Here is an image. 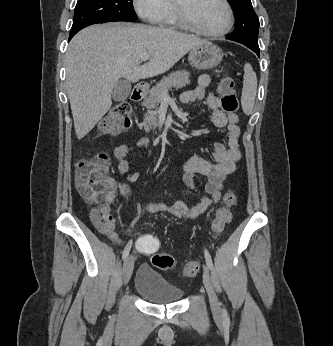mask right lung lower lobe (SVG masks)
I'll list each match as a JSON object with an SVG mask.
<instances>
[{
    "mask_svg": "<svg viewBox=\"0 0 333 346\" xmlns=\"http://www.w3.org/2000/svg\"><path fill=\"white\" fill-rule=\"evenodd\" d=\"M76 34V33H75ZM74 33L70 34L69 40L75 35Z\"/></svg>",
    "mask_w": 333,
    "mask_h": 346,
    "instance_id": "98d812e1",
    "label": "right lung lower lobe"
}]
</instances>
